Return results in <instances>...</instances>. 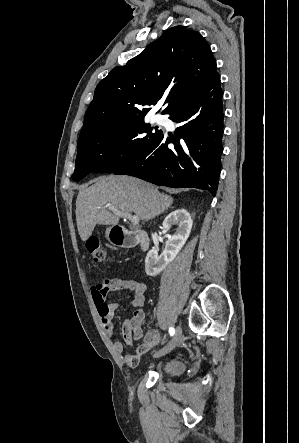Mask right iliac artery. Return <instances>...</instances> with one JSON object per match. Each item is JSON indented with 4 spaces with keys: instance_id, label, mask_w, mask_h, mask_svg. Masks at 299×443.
Listing matches in <instances>:
<instances>
[{
    "instance_id": "1",
    "label": "right iliac artery",
    "mask_w": 299,
    "mask_h": 443,
    "mask_svg": "<svg viewBox=\"0 0 299 443\" xmlns=\"http://www.w3.org/2000/svg\"><path fill=\"white\" fill-rule=\"evenodd\" d=\"M169 334L170 336H173L175 334V329L173 327L169 328Z\"/></svg>"
}]
</instances>
